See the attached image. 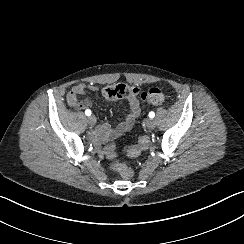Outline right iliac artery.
I'll list each match as a JSON object with an SVG mask.
<instances>
[{"label":"right iliac artery","instance_id":"right-iliac-artery-1","mask_svg":"<svg viewBox=\"0 0 244 244\" xmlns=\"http://www.w3.org/2000/svg\"><path fill=\"white\" fill-rule=\"evenodd\" d=\"M85 114H86L87 116H90V115H91V111H90L89 109H87V110L85 111Z\"/></svg>","mask_w":244,"mask_h":244}]
</instances>
